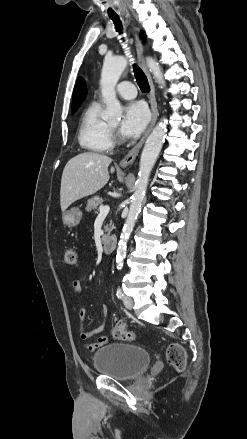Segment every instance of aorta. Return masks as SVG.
Segmentation results:
<instances>
[{"mask_svg":"<svg viewBox=\"0 0 247 439\" xmlns=\"http://www.w3.org/2000/svg\"><path fill=\"white\" fill-rule=\"evenodd\" d=\"M127 59L124 56L107 57L103 63L100 87L103 100L106 104L105 115L107 119L119 120L122 116V107L115 93V86L127 66ZM149 71L153 74L156 82L165 87L163 72L158 62L153 58L146 59ZM166 136V123L159 122L145 142L139 163V173L136 180V190L132 196L129 212L122 229L120 241L117 248L116 263L117 269L123 267V260L126 256V248L129 236L134 228L138 214L146 194L150 173L159 156Z\"/></svg>","mask_w":247,"mask_h":439,"instance_id":"762f6f07","label":"aorta"}]
</instances>
